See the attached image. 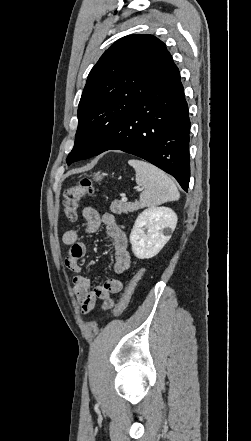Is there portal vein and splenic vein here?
<instances>
[{
	"label": "portal vein and splenic vein",
	"mask_w": 251,
	"mask_h": 441,
	"mask_svg": "<svg viewBox=\"0 0 251 441\" xmlns=\"http://www.w3.org/2000/svg\"><path fill=\"white\" fill-rule=\"evenodd\" d=\"M140 190H142V189L139 188L138 191H140ZM122 201H127V198L125 196H123Z\"/></svg>",
	"instance_id": "18ae733b"
}]
</instances>
